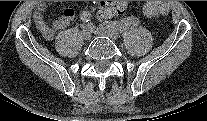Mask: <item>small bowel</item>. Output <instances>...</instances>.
<instances>
[{"instance_id":"small-bowel-1","label":"small bowel","mask_w":207,"mask_h":121,"mask_svg":"<svg viewBox=\"0 0 207 121\" xmlns=\"http://www.w3.org/2000/svg\"><path fill=\"white\" fill-rule=\"evenodd\" d=\"M47 4L40 2L37 4L34 12V22L44 39L52 40L58 31L65 29L74 17V9L67 8L62 16L58 17L49 25L44 18ZM100 7L108 8L111 13L104 19L111 18L115 14H120L125 8V2L103 1Z\"/></svg>"}]
</instances>
